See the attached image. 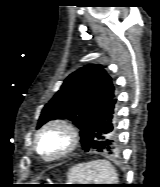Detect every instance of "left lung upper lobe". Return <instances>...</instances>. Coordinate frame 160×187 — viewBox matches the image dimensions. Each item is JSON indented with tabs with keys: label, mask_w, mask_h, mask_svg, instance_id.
<instances>
[{
	"label": "left lung upper lobe",
	"mask_w": 160,
	"mask_h": 187,
	"mask_svg": "<svg viewBox=\"0 0 160 187\" xmlns=\"http://www.w3.org/2000/svg\"><path fill=\"white\" fill-rule=\"evenodd\" d=\"M114 98L111 78L98 64L86 65L65 79L60 90L43 108L38 127L54 119H69L79 129L85 151L84 134L92 131L103 110ZM114 137V132L111 133Z\"/></svg>",
	"instance_id": "1"
}]
</instances>
